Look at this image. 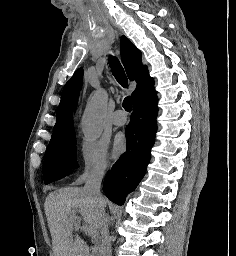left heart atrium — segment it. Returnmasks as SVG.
I'll list each match as a JSON object with an SVG mask.
<instances>
[{
	"mask_svg": "<svg viewBox=\"0 0 236 256\" xmlns=\"http://www.w3.org/2000/svg\"><path fill=\"white\" fill-rule=\"evenodd\" d=\"M125 140L123 137H117L114 143V153L120 154L124 148Z\"/></svg>",
	"mask_w": 236,
	"mask_h": 256,
	"instance_id": "obj_1",
	"label": "left heart atrium"
}]
</instances>
